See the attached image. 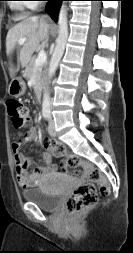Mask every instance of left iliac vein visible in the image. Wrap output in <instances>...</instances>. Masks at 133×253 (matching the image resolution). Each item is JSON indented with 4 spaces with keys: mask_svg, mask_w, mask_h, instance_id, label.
Instances as JSON below:
<instances>
[{
    "mask_svg": "<svg viewBox=\"0 0 133 253\" xmlns=\"http://www.w3.org/2000/svg\"><path fill=\"white\" fill-rule=\"evenodd\" d=\"M48 133H49L51 136H55V135H56V132H55V125H54L53 120H51L50 123H49V126H48Z\"/></svg>",
    "mask_w": 133,
    "mask_h": 253,
    "instance_id": "obj_1",
    "label": "left iliac vein"
}]
</instances>
